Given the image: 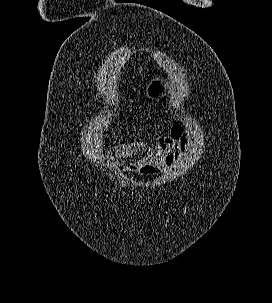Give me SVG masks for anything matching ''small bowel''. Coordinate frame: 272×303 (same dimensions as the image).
I'll return each instance as SVG.
<instances>
[{
    "label": "small bowel",
    "instance_id": "small-bowel-1",
    "mask_svg": "<svg viewBox=\"0 0 272 303\" xmlns=\"http://www.w3.org/2000/svg\"><path fill=\"white\" fill-rule=\"evenodd\" d=\"M189 148V135L181 123H175L168 136L157 138L153 146L134 141L115 146L108 155L112 162L117 158L136 157L134 163L125 168L132 171L141 166H152L168 171L176 166Z\"/></svg>",
    "mask_w": 272,
    "mask_h": 303
}]
</instances>
